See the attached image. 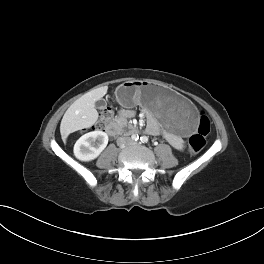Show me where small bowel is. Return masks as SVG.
Wrapping results in <instances>:
<instances>
[{"label":"small bowel","instance_id":"1","mask_svg":"<svg viewBox=\"0 0 264 264\" xmlns=\"http://www.w3.org/2000/svg\"><path fill=\"white\" fill-rule=\"evenodd\" d=\"M133 115V111L131 110H122L120 112V117L122 119L124 118H127V117H131ZM147 132L151 135H161V134H164V136L167 138V140L175 147V148H182L183 146V141L182 139L175 135V134H172V133H163V131L161 130V128L159 127V125L154 122V121H151L149 124H148V127H147Z\"/></svg>","mask_w":264,"mask_h":264}]
</instances>
